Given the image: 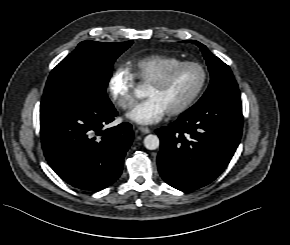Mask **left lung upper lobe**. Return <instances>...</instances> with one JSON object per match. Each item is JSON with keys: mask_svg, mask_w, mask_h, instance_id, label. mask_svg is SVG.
<instances>
[{"mask_svg": "<svg viewBox=\"0 0 290 245\" xmlns=\"http://www.w3.org/2000/svg\"><path fill=\"white\" fill-rule=\"evenodd\" d=\"M184 42L196 44L201 49L211 76L210 86L196 105L217 100L240 102L238 85L229 66L213 55L203 44L194 40Z\"/></svg>", "mask_w": 290, "mask_h": 245, "instance_id": "obj_1", "label": "left lung upper lobe"}]
</instances>
